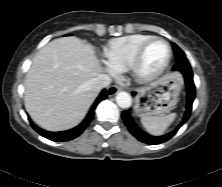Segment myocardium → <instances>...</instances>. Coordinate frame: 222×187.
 Segmentation results:
<instances>
[{
    "mask_svg": "<svg viewBox=\"0 0 222 187\" xmlns=\"http://www.w3.org/2000/svg\"><path fill=\"white\" fill-rule=\"evenodd\" d=\"M155 42L164 43L168 48V55L161 67H159L154 72L147 73L143 70L144 57L148 48ZM171 58H172L171 44L164 38L152 37L138 49L128 71L133 76V78L138 82L142 83L151 82L164 73V71L167 69V67L170 64Z\"/></svg>",
    "mask_w": 222,
    "mask_h": 187,
    "instance_id": "f54148a6",
    "label": "myocardium"
}]
</instances>
